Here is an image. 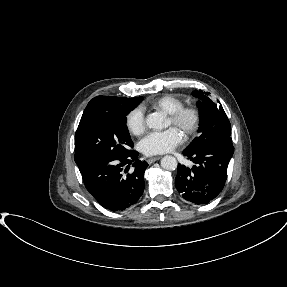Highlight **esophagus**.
Instances as JSON below:
<instances>
[{"label": "esophagus", "instance_id": "esophagus-1", "mask_svg": "<svg viewBox=\"0 0 287 287\" xmlns=\"http://www.w3.org/2000/svg\"><path fill=\"white\" fill-rule=\"evenodd\" d=\"M161 157L160 156H156V157H152V158H149L147 160L148 164H152L154 163L155 161H158Z\"/></svg>", "mask_w": 287, "mask_h": 287}]
</instances>
